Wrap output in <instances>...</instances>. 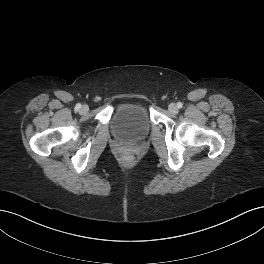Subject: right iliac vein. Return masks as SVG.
Returning a JSON list of instances; mask_svg holds the SVG:
<instances>
[{"mask_svg":"<svg viewBox=\"0 0 264 264\" xmlns=\"http://www.w3.org/2000/svg\"><path fill=\"white\" fill-rule=\"evenodd\" d=\"M88 111V106L84 105L82 108H81V112L82 113H86Z\"/></svg>","mask_w":264,"mask_h":264,"instance_id":"right-iliac-vein-1","label":"right iliac vein"}]
</instances>
